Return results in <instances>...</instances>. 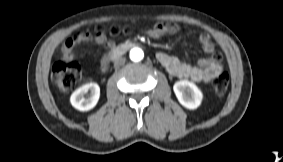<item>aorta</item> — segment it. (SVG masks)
Returning <instances> with one entry per match:
<instances>
[{
    "label": "aorta",
    "mask_w": 283,
    "mask_h": 162,
    "mask_svg": "<svg viewBox=\"0 0 283 162\" xmlns=\"http://www.w3.org/2000/svg\"><path fill=\"white\" fill-rule=\"evenodd\" d=\"M129 56L133 62H139L143 59L144 53L140 48H133L130 50Z\"/></svg>",
    "instance_id": "1"
}]
</instances>
